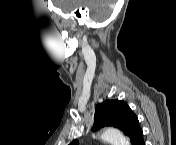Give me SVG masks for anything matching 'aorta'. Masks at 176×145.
I'll return each instance as SVG.
<instances>
[{
  "mask_svg": "<svg viewBox=\"0 0 176 145\" xmlns=\"http://www.w3.org/2000/svg\"><path fill=\"white\" fill-rule=\"evenodd\" d=\"M100 138L112 145H129V141L126 137L117 129L107 128L105 129Z\"/></svg>",
  "mask_w": 176,
  "mask_h": 145,
  "instance_id": "aorta-1",
  "label": "aorta"
}]
</instances>
